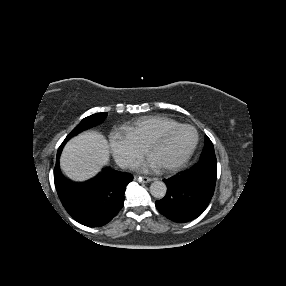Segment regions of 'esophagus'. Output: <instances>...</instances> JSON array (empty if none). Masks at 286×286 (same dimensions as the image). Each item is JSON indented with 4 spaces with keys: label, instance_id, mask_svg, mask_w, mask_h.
I'll use <instances>...</instances> for the list:
<instances>
[{
    "label": "esophagus",
    "instance_id": "34e87169",
    "mask_svg": "<svg viewBox=\"0 0 286 286\" xmlns=\"http://www.w3.org/2000/svg\"><path fill=\"white\" fill-rule=\"evenodd\" d=\"M134 179L142 183H148L152 181V178L147 176H135Z\"/></svg>",
    "mask_w": 286,
    "mask_h": 286
}]
</instances>
